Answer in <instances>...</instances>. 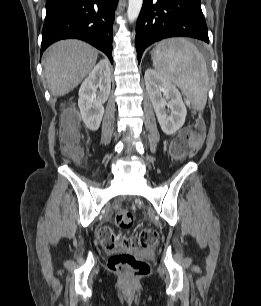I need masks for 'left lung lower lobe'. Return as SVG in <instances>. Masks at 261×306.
I'll return each mask as SVG.
<instances>
[{"mask_svg":"<svg viewBox=\"0 0 261 306\" xmlns=\"http://www.w3.org/2000/svg\"><path fill=\"white\" fill-rule=\"evenodd\" d=\"M176 36L193 37L209 43L200 0H143L136 24L138 61L152 43Z\"/></svg>","mask_w":261,"mask_h":306,"instance_id":"0a47b994","label":"left lung lower lobe"}]
</instances>
